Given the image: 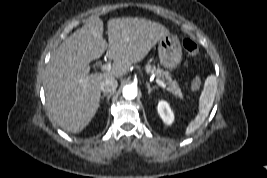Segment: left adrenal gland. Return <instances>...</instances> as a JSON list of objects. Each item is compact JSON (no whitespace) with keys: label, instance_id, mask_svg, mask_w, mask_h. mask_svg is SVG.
I'll use <instances>...</instances> for the list:
<instances>
[{"label":"left adrenal gland","instance_id":"left-adrenal-gland-1","mask_svg":"<svg viewBox=\"0 0 267 178\" xmlns=\"http://www.w3.org/2000/svg\"><path fill=\"white\" fill-rule=\"evenodd\" d=\"M146 84H147L148 94H150L154 88L151 87L148 82Z\"/></svg>","mask_w":267,"mask_h":178}]
</instances>
